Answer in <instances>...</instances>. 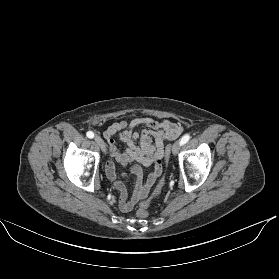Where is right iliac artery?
Returning <instances> with one entry per match:
<instances>
[{
  "instance_id": "right-iliac-artery-1",
  "label": "right iliac artery",
  "mask_w": 279,
  "mask_h": 279,
  "mask_svg": "<svg viewBox=\"0 0 279 279\" xmlns=\"http://www.w3.org/2000/svg\"><path fill=\"white\" fill-rule=\"evenodd\" d=\"M86 135H87L88 138H91V139L94 137V133L92 131H88L86 133Z\"/></svg>"
}]
</instances>
